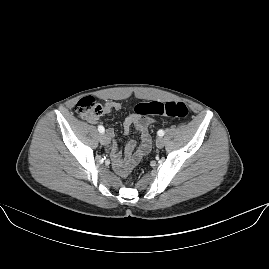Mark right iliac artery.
<instances>
[{"label":"right iliac artery","instance_id":"82829eb1","mask_svg":"<svg viewBox=\"0 0 269 269\" xmlns=\"http://www.w3.org/2000/svg\"><path fill=\"white\" fill-rule=\"evenodd\" d=\"M98 131H99L100 133H104L105 129H104L103 126L99 125V126H98Z\"/></svg>","mask_w":269,"mask_h":269}]
</instances>
